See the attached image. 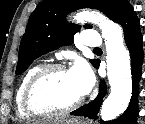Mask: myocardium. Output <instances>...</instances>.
I'll list each match as a JSON object with an SVG mask.
<instances>
[{
    "label": "myocardium",
    "mask_w": 145,
    "mask_h": 124,
    "mask_svg": "<svg viewBox=\"0 0 145 124\" xmlns=\"http://www.w3.org/2000/svg\"><path fill=\"white\" fill-rule=\"evenodd\" d=\"M55 71H67V68L61 63L46 64L41 66L29 79L23 94V107L30 116L64 115L74 111L82 104V97L65 107H54L51 105L40 106L36 102V91L38 86L50 73Z\"/></svg>",
    "instance_id": "1"
}]
</instances>
